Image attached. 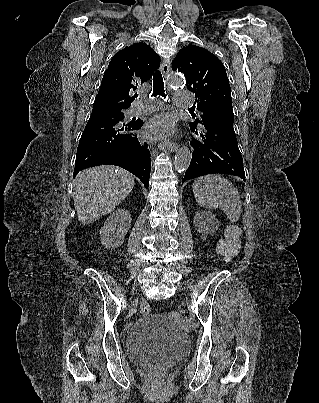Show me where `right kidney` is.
I'll use <instances>...</instances> for the list:
<instances>
[{
    "instance_id": "ca27d5eb",
    "label": "right kidney",
    "mask_w": 319,
    "mask_h": 403,
    "mask_svg": "<svg viewBox=\"0 0 319 403\" xmlns=\"http://www.w3.org/2000/svg\"><path fill=\"white\" fill-rule=\"evenodd\" d=\"M130 227L131 216L128 210L118 209L114 211L100 230L102 245L109 250L121 246Z\"/></svg>"
}]
</instances>
